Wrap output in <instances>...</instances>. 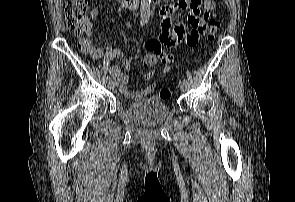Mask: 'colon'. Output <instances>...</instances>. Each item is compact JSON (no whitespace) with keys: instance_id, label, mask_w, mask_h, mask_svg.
Returning <instances> with one entry per match:
<instances>
[{"instance_id":"1","label":"colon","mask_w":295,"mask_h":202,"mask_svg":"<svg viewBox=\"0 0 295 202\" xmlns=\"http://www.w3.org/2000/svg\"><path fill=\"white\" fill-rule=\"evenodd\" d=\"M65 19L68 29L77 36H83L90 28V22L87 18V0H66L64 5ZM219 26L218 20L213 17L208 23L209 37H212ZM156 43V42H152ZM80 48L83 51L89 52L91 46L85 39L80 41ZM144 68H156L158 65L157 52H146L143 57ZM147 75H156V70H147ZM158 82H150L146 85V90H156ZM160 97L169 99L171 97V90L164 87L160 90Z\"/></svg>"}]
</instances>
